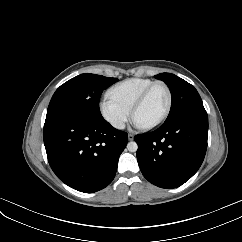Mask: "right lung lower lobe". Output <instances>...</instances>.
<instances>
[{
    "label": "right lung lower lobe",
    "instance_id": "right-lung-lower-lobe-1",
    "mask_svg": "<svg viewBox=\"0 0 242 242\" xmlns=\"http://www.w3.org/2000/svg\"><path fill=\"white\" fill-rule=\"evenodd\" d=\"M127 142V133L104 119L60 115L44 124L52 170L66 185L84 193L99 191L112 182Z\"/></svg>",
    "mask_w": 242,
    "mask_h": 242
}]
</instances>
